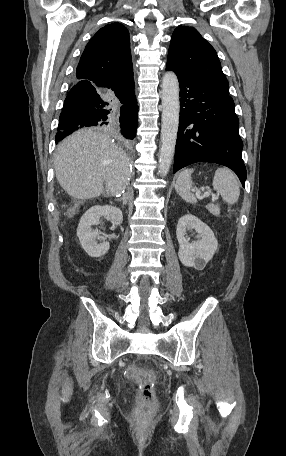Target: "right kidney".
<instances>
[{
	"label": "right kidney",
	"instance_id": "obj_1",
	"mask_svg": "<svg viewBox=\"0 0 286 456\" xmlns=\"http://www.w3.org/2000/svg\"><path fill=\"white\" fill-rule=\"evenodd\" d=\"M101 217L110 219L113 226H118L123 221L122 211L110 205H95L84 213L77 228V236L87 254L95 258L105 255L110 248L107 241L100 244L96 242V239L105 240V238L98 230L92 229V226L100 223Z\"/></svg>",
	"mask_w": 286,
	"mask_h": 456
}]
</instances>
